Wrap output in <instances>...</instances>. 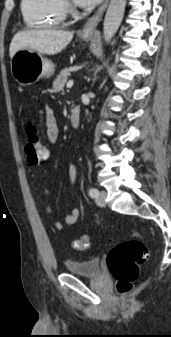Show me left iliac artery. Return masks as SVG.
Instances as JSON below:
<instances>
[{"mask_svg":"<svg viewBox=\"0 0 171 337\" xmlns=\"http://www.w3.org/2000/svg\"><path fill=\"white\" fill-rule=\"evenodd\" d=\"M89 195L92 197V198H95L99 195V192L96 188H90L89 189Z\"/></svg>","mask_w":171,"mask_h":337,"instance_id":"obj_1","label":"left iliac artery"}]
</instances>
